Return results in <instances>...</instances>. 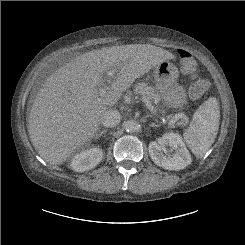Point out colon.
<instances>
[{"label":"colon","instance_id":"1","mask_svg":"<svg viewBox=\"0 0 245 245\" xmlns=\"http://www.w3.org/2000/svg\"><path fill=\"white\" fill-rule=\"evenodd\" d=\"M179 62L181 71L188 75L191 83L189 86V95L192 98L203 96L209 89L208 80L199 77L197 73V64L193 55L185 50H179Z\"/></svg>","mask_w":245,"mask_h":245}]
</instances>
